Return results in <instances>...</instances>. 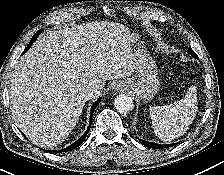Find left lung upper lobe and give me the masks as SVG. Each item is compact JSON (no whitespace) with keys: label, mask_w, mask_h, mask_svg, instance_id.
Returning a JSON list of instances; mask_svg holds the SVG:
<instances>
[{"label":"left lung upper lobe","mask_w":224,"mask_h":175,"mask_svg":"<svg viewBox=\"0 0 224 175\" xmlns=\"http://www.w3.org/2000/svg\"><path fill=\"white\" fill-rule=\"evenodd\" d=\"M188 51H189V53H190L193 57L198 58V56L196 55V53H195L190 47L188 48Z\"/></svg>","instance_id":"obj_1"}]
</instances>
